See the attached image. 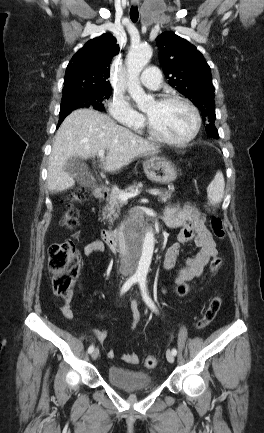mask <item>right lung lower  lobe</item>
I'll return each instance as SVG.
<instances>
[{"label": "right lung lower lobe", "mask_w": 264, "mask_h": 433, "mask_svg": "<svg viewBox=\"0 0 264 433\" xmlns=\"http://www.w3.org/2000/svg\"><path fill=\"white\" fill-rule=\"evenodd\" d=\"M63 120H64V119H63ZM63 120H59L58 126L61 124V122H62Z\"/></svg>", "instance_id": "obj_1"}]
</instances>
